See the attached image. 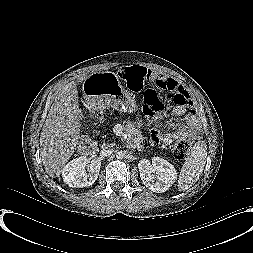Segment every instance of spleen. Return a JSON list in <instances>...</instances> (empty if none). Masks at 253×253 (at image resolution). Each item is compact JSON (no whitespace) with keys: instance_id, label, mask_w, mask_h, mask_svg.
Masks as SVG:
<instances>
[{"instance_id":"spleen-1","label":"spleen","mask_w":253,"mask_h":253,"mask_svg":"<svg viewBox=\"0 0 253 253\" xmlns=\"http://www.w3.org/2000/svg\"><path fill=\"white\" fill-rule=\"evenodd\" d=\"M207 145L204 141L196 143L191 149L181 169L178 187L180 191L189 188L201 175L206 164Z\"/></svg>"}]
</instances>
